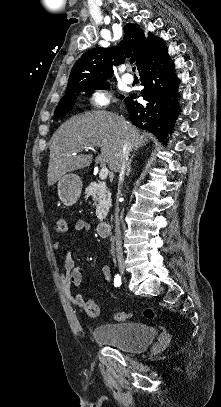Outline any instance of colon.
Wrapping results in <instances>:
<instances>
[{
  "instance_id": "5ec220e1",
  "label": "colon",
  "mask_w": 221,
  "mask_h": 407,
  "mask_svg": "<svg viewBox=\"0 0 221 407\" xmlns=\"http://www.w3.org/2000/svg\"><path fill=\"white\" fill-rule=\"evenodd\" d=\"M55 231L57 234H66L68 232V223L65 217L60 216L56 220ZM84 309L90 317H97L99 314L98 306L91 299H87L84 302ZM144 317L147 319H153L155 317V312L152 308H146L143 312ZM129 315L125 311H120L116 314V319L118 321H126Z\"/></svg>"
}]
</instances>
